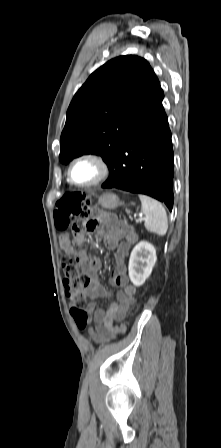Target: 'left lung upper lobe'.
<instances>
[{
  "label": "left lung upper lobe",
  "instance_id": "left-lung-upper-lobe-1",
  "mask_svg": "<svg viewBox=\"0 0 221 448\" xmlns=\"http://www.w3.org/2000/svg\"><path fill=\"white\" fill-rule=\"evenodd\" d=\"M163 91L149 63L114 58L93 72L73 97L60 138V161L100 155L109 165L124 137Z\"/></svg>",
  "mask_w": 221,
  "mask_h": 448
}]
</instances>
